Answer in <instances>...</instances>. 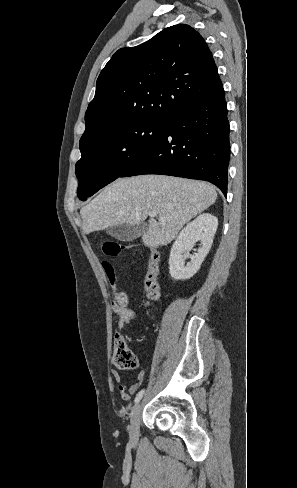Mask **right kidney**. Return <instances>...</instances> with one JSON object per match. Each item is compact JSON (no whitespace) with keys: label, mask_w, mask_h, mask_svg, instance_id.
Listing matches in <instances>:
<instances>
[{"label":"right kidney","mask_w":297,"mask_h":488,"mask_svg":"<svg viewBox=\"0 0 297 488\" xmlns=\"http://www.w3.org/2000/svg\"><path fill=\"white\" fill-rule=\"evenodd\" d=\"M218 227V219L209 213L199 215L188 223L177 236L170 253L169 272L174 280L191 278L200 268L209 253ZM200 241L202 247L190 255L194 244ZM188 258L190 261L185 262Z\"/></svg>","instance_id":"right-kidney-1"}]
</instances>
